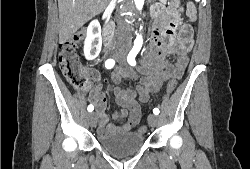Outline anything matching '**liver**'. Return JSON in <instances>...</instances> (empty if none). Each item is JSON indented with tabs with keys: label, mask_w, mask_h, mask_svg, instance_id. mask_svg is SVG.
<instances>
[{
	"label": "liver",
	"mask_w": 250,
	"mask_h": 169,
	"mask_svg": "<svg viewBox=\"0 0 250 169\" xmlns=\"http://www.w3.org/2000/svg\"><path fill=\"white\" fill-rule=\"evenodd\" d=\"M110 0H58L59 40L65 42L95 14L102 12Z\"/></svg>",
	"instance_id": "6515ba94"
}]
</instances>
